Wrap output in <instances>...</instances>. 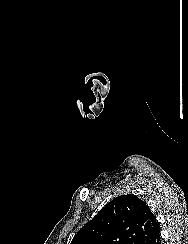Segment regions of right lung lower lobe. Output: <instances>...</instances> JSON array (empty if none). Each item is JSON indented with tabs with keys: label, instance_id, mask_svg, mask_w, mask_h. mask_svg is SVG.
Masks as SVG:
<instances>
[{
	"label": "right lung lower lobe",
	"instance_id": "98d812e1",
	"mask_svg": "<svg viewBox=\"0 0 188 244\" xmlns=\"http://www.w3.org/2000/svg\"><path fill=\"white\" fill-rule=\"evenodd\" d=\"M147 244H161L160 240V228L153 234L151 239L148 241Z\"/></svg>",
	"mask_w": 188,
	"mask_h": 244
}]
</instances>
